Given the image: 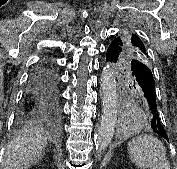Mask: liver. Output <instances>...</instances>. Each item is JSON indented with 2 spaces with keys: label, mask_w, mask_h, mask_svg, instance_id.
Instances as JSON below:
<instances>
[{
  "label": "liver",
  "mask_w": 177,
  "mask_h": 169,
  "mask_svg": "<svg viewBox=\"0 0 177 169\" xmlns=\"http://www.w3.org/2000/svg\"><path fill=\"white\" fill-rule=\"evenodd\" d=\"M48 138L41 128H31L13 140L6 149L3 169H27L40 159Z\"/></svg>",
  "instance_id": "liver-1"
}]
</instances>
